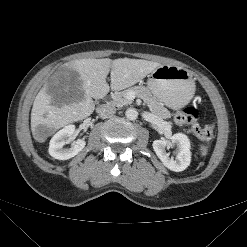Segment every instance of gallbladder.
<instances>
[{"label":"gallbladder","instance_id":"bac80fb5","mask_svg":"<svg viewBox=\"0 0 247 247\" xmlns=\"http://www.w3.org/2000/svg\"><path fill=\"white\" fill-rule=\"evenodd\" d=\"M80 84L79 74L63 66L48 79L46 92L56 105L69 103L81 93Z\"/></svg>","mask_w":247,"mask_h":247}]
</instances>
